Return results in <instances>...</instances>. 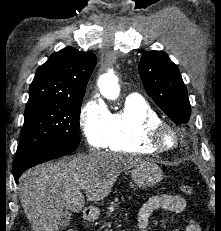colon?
<instances>
[{
	"label": "colon",
	"mask_w": 221,
	"mask_h": 231,
	"mask_svg": "<svg viewBox=\"0 0 221 231\" xmlns=\"http://www.w3.org/2000/svg\"><path fill=\"white\" fill-rule=\"evenodd\" d=\"M180 191L187 196H193L194 195V190H193L192 186L189 184H185V183L181 184L180 185ZM70 231H73V230H70Z\"/></svg>",
	"instance_id": "colon-1"
}]
</instances>
